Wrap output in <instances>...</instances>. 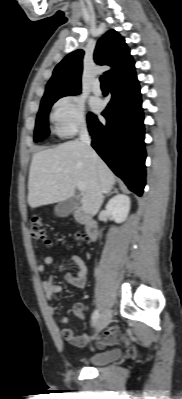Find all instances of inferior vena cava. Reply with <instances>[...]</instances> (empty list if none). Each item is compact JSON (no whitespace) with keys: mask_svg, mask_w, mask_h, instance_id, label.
Here are the masks:
<instances>
[{"mask_svg":"<svg viewBox=\"0 0 182 399\" xmlns=\"http://www.w3.org/2000/svg\"><path fill=\"white\" fill-rule=\"evenodd\" d=\"M80 140H81V142H82L83 144H85L86 146H88L89 148H91V147H90L91 138H90V136H89L88 129H87V126H86V125H83V126L81 127V129H80Z\"/></svg>","mask_w":182,"mask_h":399,"instance_id":"obj_1","label":"inferior vena cava"}]
</instances>
